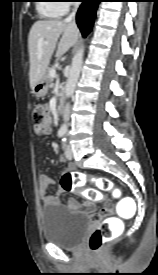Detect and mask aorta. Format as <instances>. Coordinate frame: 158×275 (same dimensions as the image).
Listing matches in <instances>:
<instances>
[{"label": "aorta", "instance_id": "1", "mask_svg": "<svg viewBox=\"0 0 158 275\" xmlns=\"http://www.w3.org/2000/svg\"><path fill=\"white\" fill-rule=\"evenodd\" d=\"M83 56H84V47H81L77 53L72 58V64L69 71V75L67 78L66 86H65V96L71 97L74 93L76 83L78 81L80 71L83 64ZM61 131H67V125L63 124L60 128Z\"/></svg>", "mask_w": 158, "mask_h": 275}]
</instances>
